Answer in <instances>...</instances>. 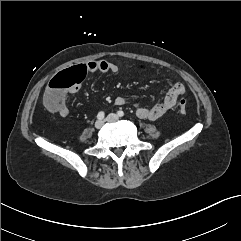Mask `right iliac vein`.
Listing matches in <instances>:
<instances>
[{
	"mask_svg": "<svg viewBox=\"0 0 241 241\" xmlns=\"http://www.w3.org/2000/svg\"><path fill=\"white\" fill-rule=\"evenodd\" d=\"M103 125H104V121H102V120H98L95 122L96 129H101L103 127Z\"/></svg>",
	"mask_w": 241,
	"mask_h": 241,
	"instance_id": "right-iliac-vein-1",
	"label": "right iliac vein"
}]
</instances>
